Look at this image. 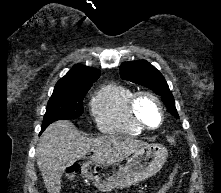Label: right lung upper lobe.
Returning a JSON list of instances; mask_svg holds the SVG:
<instances>
[{
	"label": "right lung upper lobe",
	"mask_w": 221,
	"mask_h": 193,
	"mask_svg": "<svg viewBox=\"0 0 221 193\" xmlns=\"http://www.w3.org/2000/svg\"><path fill=\"white\" fill-rule=\"evenodd\" d=\"M99 76L100 72L96 69L90 70L86 66L75 65L63 78L58 81L54 90L92 85Z\"/></svg>",
	"instance_id": "right-lung-upper-lobe-1"
}]
</instances>
